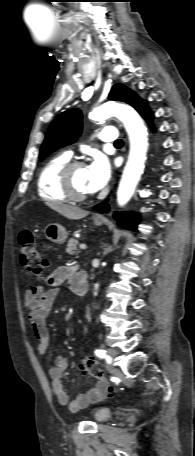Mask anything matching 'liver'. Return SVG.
I'll use <instances>...</instances> for the list:
<instances>
[{
	"label": "liver",
	"instance_id": "1",
	"mask_svg": "<svg viewBox=\"0 0 195 456\" xmlns=\"http://www.w3.org/2000/svg\"><path fill=\"white\" fill-rule=\"evenodd\" d=\"M45 204L62 216L71 220L82 219L89 214L86 210L61 202H46Z\"/></svg>",
	"mask_w": 195,
	"mask_h": 456
}]
</instances>
